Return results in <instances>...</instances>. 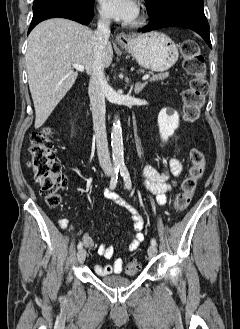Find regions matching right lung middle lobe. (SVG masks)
<instances>
[{"mask_svg": "<svg viewBox=\"0 0 240 329\" xmlns=\"http://www.w3.org/2000/svg\"><path fill=\"white\" fill-rule=\"evenodd\" d=\"M42 2L61 3L76 7H90L93 5L94 0H35L34 4Z\"/></svg>", "mask_w": 240, "mask_h": 329, "instance_id": "1", "label": "right lung middle lobe"}]
</instances>
